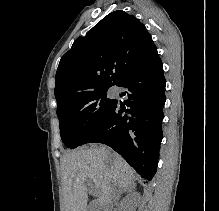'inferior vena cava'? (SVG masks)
I'll use <instances>...</instances> for the list:
<instances>
[{
	"mask_svg": "<svg viewBox=\"0 0 219 211\" xmlns=\"http://www.w3.org/2000/svg\"><path fill=\"white\" fill-rule=\"evenodd\" d=\"M112 186L114 188H109L108 192L113 193L111 196L114 199H117V197H119V193L121 192V189L120 188H115L117 186L115 183ZM108 200L111 202L113 199L110 197ZM106 205L109 207L111 204L108 202Z\"/></svg>",
	"mask_w": 219,
	"mask_h": 211,
	"instance_id": "obj_1",
	"label": "inferior vena cava"
}]
</instances>
